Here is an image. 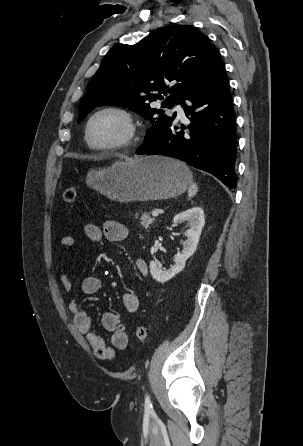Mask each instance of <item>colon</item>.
I'll use <instances>...</instances> for the list:
<instances>
[{"instance_id":"obj_1","label":"colon","mask_w":303,"mask_h":446,"mask_svg":"<svg viewBox=\"0 0 303 446\" xmlns=\"http://www.w3.org/2000/svg\"><path fill=\"white\" fill-rule=\"evenodd\" d=\"M63 200L67 203H74L77 198V191L75 187H68L63 191ZM136 340L139 343H144L148 337V328L145 325L139 324L134 328Z\"/></svg>"}]
</instances>
